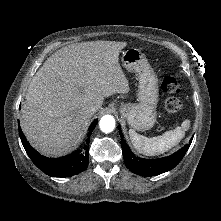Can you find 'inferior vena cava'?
<instances>
[{"label":"inferior vena cava","mask_w":221,"mask_h":221,"mask_svg":"<svg viewBox=\"0 0 221 221\" xmlns=\"http://www.w3.org/2000/svg\"><path fill=\"white\" fill-rule=\"evenodd\" d=\"M97 111V107L94 104H87L83 108V112L87 116H92Z\"/></svg>","instance_id":"obj_1"}]
</instances>
